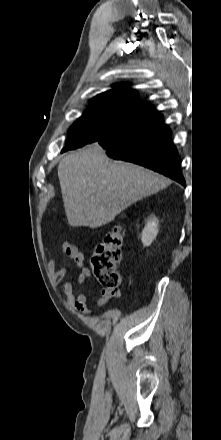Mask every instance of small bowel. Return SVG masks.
<instances>
[{"label": "small bowel", "instance_id": "1", "mask_svg": "<svg viewBox=\"0 0 221 440\" xmlns=\"http://www.w3.org/2000/svg\"><path fill=\"white\" fill-rule=\"evenodd\" d=\"M63 257L67 261L73 262L78 268L80 273L77 277V284L82 285L86 282L90 276V270L84 266V254L78 249V247L68 241H65L61 245ZM67 263H63L60 268L56 269L55 260L50 258L47 262V268L51 274L54 282H60L64 279L67 273ZM64 293L67 297V303L75 310L82 312L84 315L91 316L93 314L87 306V297L84 293H79L74 296V288L70 282H66L63 285ZM119 296V292L111 289H102L99 296L94 298L95 303L98 306H106L113 299Z\"/></svg>", "mask_w": 221, "mask_h": 440}]
</instances>
